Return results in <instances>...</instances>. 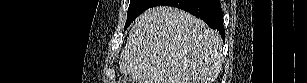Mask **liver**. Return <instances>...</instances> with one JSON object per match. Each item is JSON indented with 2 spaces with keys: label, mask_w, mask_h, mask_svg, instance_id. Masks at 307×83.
Segmentation results:
<instances>
[{
  "label": "liver",
  "mask_w": 307,
  "mask_h": 83,
  "mask_svg": "<svg viewBox=\"0 0 307 83\" xmlns=\"http://www.w3.org/2000/svg\"><path fill=\"white\" fill-rule=\"evenodd\" d=\"M222 39L205 22L171 6L141 14L120 56V72L136 83H213Z\"/></svg>",
  "instance_id": "obj_1"
}]
</instances>
